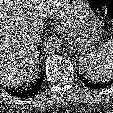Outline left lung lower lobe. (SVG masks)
Masks as SVG:
<instances>
[{"mask_svg":"<svg viewBox=\"0 0 113 113\" xmlns=\"http://www.w3.org/2000/svg\"><path fill=\"white\" fill-rule=\"evenodd\" d=\"M77 76L80 78V80L88 87L90 88H94V89H99V88H104L107 87L109 85H111L113 82H109V83H94L92 81H89L88 79L84 78L82 75H80L79 73H77Z\"/></svg>","mask_w":113,"mask_h":113,"instance_id":"obj_1","label":"left lung lower lobe"}]
</instances>
